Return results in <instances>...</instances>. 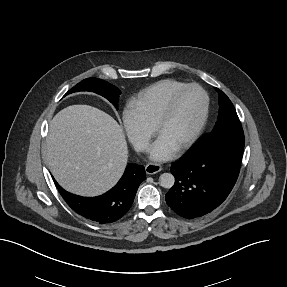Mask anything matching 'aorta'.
<instances>
[{
	"label": "aorta",
	"mask_w": 287,
	"mask_h": 287,
	"mask_svg": "<svg viewBox=\"0 0 287 287\" xmlns=\"http://www.w3.org/2000/svg\"><path fill=\"white\" fill-rule=\"evenodd\" d=\"M175 178L171 173H163L159 177V184L163 188H171L174 185Z\"/></svg>",
	"instance_id": "obj_1"
}]
</instances>
